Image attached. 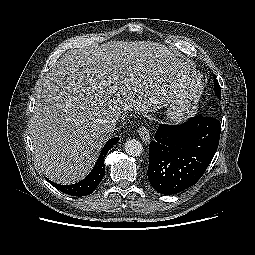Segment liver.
I'll use <instances>...</instances> for the list:
<instances>
[{
  "instance_id": "obj_1",
  "label": "liver",
  "mask_w": 255,
  "mask_h": 255,
  "mask_svg": "<svg viewBox=\"0 0 255 255\" xmlns=\"http://www.w3.org/2000/svg\"><path fill=\"white\" fill-rule=\"evenodd\" d=\"M171 48L109 41L74 50L46 74L31 123L35 161L52 181L72 184L90 171L112 135V119L170 103L190 110L200 81Z\"/></svg>"
}]
</instances>
